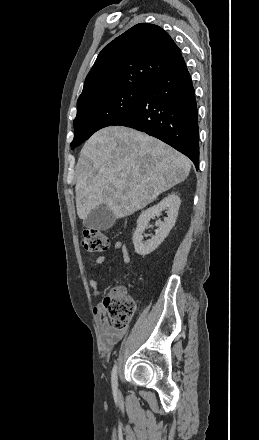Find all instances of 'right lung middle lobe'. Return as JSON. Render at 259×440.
Masks as SVG:
<instances>
[{
	"instance_id": "obj_1",
	"label": "right lung middle lobe",
	"mask_w": 259,
	"mask_h": 440,
	"mask_svg": "<svg viewBox=\"0 0 259 440\" xmlns=\"http://www.w3.org/2000/svg\"><path fill=\"white\" fill-rule=\"evenodd\" d=\"M146 89L147 87H136L117 90L77 107L71 149L79 146L99 129L113 125L131 112L144 96Z\"/></svg>"
}]
</instances>
